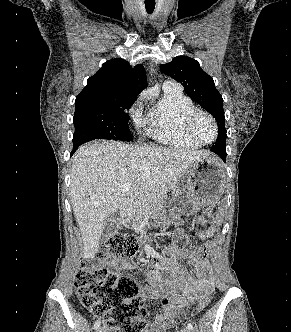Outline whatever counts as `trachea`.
I'll list each match as a JSON object with an SVG mask.
<instances>
[{"label": "trachea", "instance_id": "1", "mask_svg": "<svg viewBox=\"0 0 291 332\" xmlns=\"http://www.w3.org/2000/svg\"><path fill=\"white\" fill-rule=\"evenodd\" d=\"M145 8L148 14H152L155 9V2L153 3H145Z\"/></svg>", "mask_w": 291, "mask_h": 332}]
</instances>
